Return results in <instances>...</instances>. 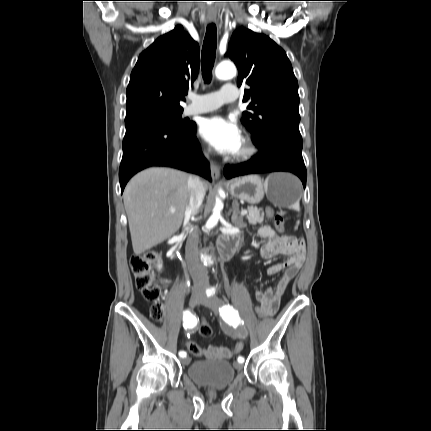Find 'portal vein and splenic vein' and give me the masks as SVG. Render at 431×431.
Here are the masks:
<instances>
[{"mask_svg":"<svg viewBox=\"0 0 431 431\" xmlns=\"http://www.w3.org/2000/svg\"><path fill=\"white\" fill-rule=\"evenodd\" d=\"M170 212H171V213H175V209L171 208V209H170ZM246 214H247V210H242V211H241V216H244V215H246Z\"/></svg>","mask_w":431,"mask_h":431,"instance_id":"obj_1","label":"portal vein and splenic vein"}]
</instances>
